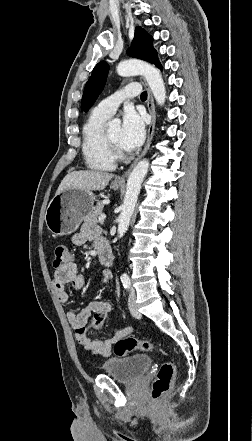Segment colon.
I'll use <instances>...</instances> for the list:
<instances>
[{
  "label": "colon",
  "instance_id": "colon-1",
  "mask_svg": "<svg viewBox=\"0 0 252 441\" xmlns=\"http://www.w3.org/2000/svg\"><path fill=\"white\" fill-rule=\"evenodd\" d=\"M72 261V253L66 245H58L55 248V255L53 260V266L60 268L67 265ZM111 305H107L102 310H99L93 314V319L88 328H81L77 331L80 336L87 335L88 330L102 329L108 319V315L111 312ZM154 349L153 342L149 340H139L134 337H124L118 340L114 346V352L118 356H126L135 350L143 352H150ZM165 354V351H163ZM175 375V364L171 361L164 362L153 382L152 398L155 401L162 400L171 390Z\"/></svg>",
  "mask_w": 252,
  "mask_h": 441
}]
</instances>
